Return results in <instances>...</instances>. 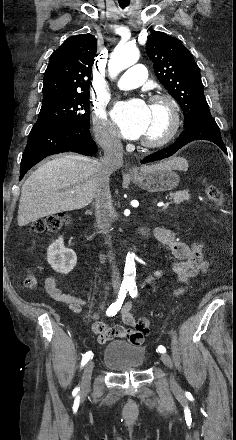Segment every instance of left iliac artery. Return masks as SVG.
<instances>
[{
    "label": "left iliac artery",
    "mask_w": 236,
    "mask_h": 440,
    "mask_svg": "<svg viewBox=\"0 0 236 440\" xmlns=\"http://www.w3.org/2000/svg\"><path fill=\"white\" fill-rule=\"evenodd\" d=\"M129 294H130V296L132 297V298H135V297H137V295H138V290H137V286L136 285H131L130 287H129ZM160 353H165L166 352V348L164 347V346H162V345H160V346H158V349H157Z\"/></svg>",
    "instance_id": "left-iliac-artery-1"
}]
</instances>
